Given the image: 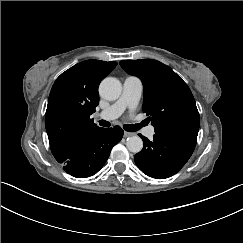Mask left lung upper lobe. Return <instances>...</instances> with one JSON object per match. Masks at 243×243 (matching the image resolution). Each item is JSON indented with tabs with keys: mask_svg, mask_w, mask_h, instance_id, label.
Returning a JSON list of instances; mask_svg holds the SVG:
<instances>
[{
	"mask_svg": "<svg viewBox=\"0 0 243 243\" xmlns=\"http://www.w3.org/2000/svg\"><path fill=\"white\" fill-rule=\"evenodd\" d=\"M121 67L141 79L143 111L157 133L197 138L200 117L187 84L168 66L153 60H123Z\"/></svg>",
	"mask_w": 243,
	"mask_h": 243,
	"instance_id": "left-lung-upper-lobe-1",
	"label": "left lung upper lobe"
}]
</instances>
